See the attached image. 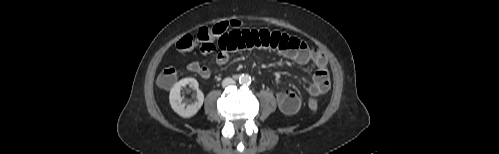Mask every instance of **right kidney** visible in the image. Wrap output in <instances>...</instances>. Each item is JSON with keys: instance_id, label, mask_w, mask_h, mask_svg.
Instances as JSON below:
<instances>
[{"instance_id": "right-kidney-1", "label": "right kidney", "mask_w": 499, "mask_h": 154, "mask_svg": "<svg viewBox=\"0 0 499 154\" xmlns=\"http://www.w3.org/2000/svg\"><path fill=\"white\" fill-rule=\"evenodd\" d=\"M186 85H190L192 89L197 91V100L194 103L187 106L185 103L182 102L183 99L180 94L182 87ZM198 86L199 84L196 79L183 78L171 88L169 94V102L171 108L181 117L190 118L194 116L203 105L204 94L202 93L201 90L198 89Z\"/></svg>"}]
</instances>
